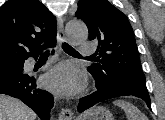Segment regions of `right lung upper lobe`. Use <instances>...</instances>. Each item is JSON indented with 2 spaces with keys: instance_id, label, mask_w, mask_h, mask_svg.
Returning <instances> with one entry per match:
<instances>
[{
  "instance_id": "cb5924a9",
  "label": "right lung upper lobe",
  "mask_w": 165,
  "mask_h": 120,
  "mask_svg": "<svg viewBox=\"0 0 165 120\" xmlns=\"http://www.w3.org/2000/svg\"><path fill=\"white\" fill-rule=\"evenodd\" d=\"M56 18L39 0H8L0 7V63L38 56L56 42Z\"/></svg>"
}]
</instances>
